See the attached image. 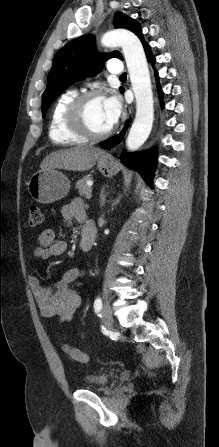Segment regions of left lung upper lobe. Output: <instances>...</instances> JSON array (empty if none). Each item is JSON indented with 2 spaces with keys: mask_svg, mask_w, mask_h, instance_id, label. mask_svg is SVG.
I'll list each match as a JSON object with an SVG mask.
<instances>
[{
  "mask_svg": "<svg viewBox=\"0 0 219 447\" xmlns=\"http://www.w3.org/2000/svg\"><path fill=\"white\" fill-rule=\"evenodd\" d=\"M114 26L128 29L142 39L140 25L121 12L115 14ZM108 57L123 59L117 51L110 53ZM105 58L106 55L100 57L96 52L92 35L78 37L58 51L47 77V87L42 95V116L46 115L52 101L67 87L85 76L100 71Z\"/></svg>",
  "mask_w": 219,
  "mask_h": 447,
  "instance_id": "left-lung-upper-lobe-1",
  "label": "left lung upper lobe"
}]
</instances>
